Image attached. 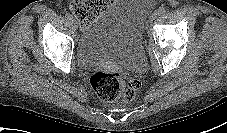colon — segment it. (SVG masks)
I'll return each instance as SVG.
<instances>
[{
	"label": "colon",
	"mask_w": 227,
	"mask_h": 133,
	"mask_svg": "<svg viewBox=\"0 0 227 133\" xmlns=\"http://www.w3.org/2000/svg\"><path fill=\"white\" fill-rule=\"evenodd\" d=\"M111 0H71L70 9L82 24L93 21ZM90 83L97 95L104 101L130 102L141 87L140 80L126 81L117 72L97 71L90 77Z\"/></svg>",
	"instance_id": "colon-1"
}]
</instances>
